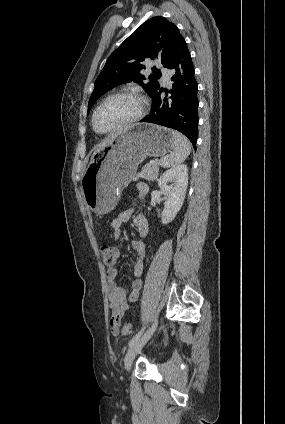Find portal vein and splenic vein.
Returning <instances> with one entry per match:
<instances>
[{"mask_svg": "<svg viewBox=\"0 0 285 424\" xmlns=\"http://www.w3.org/2000/svg\"><path fill=\"white\" fill-rule=\"evenodd\" d=\"M150 163H151V164H154V163H155V161H150Z\"/></svg>", "mask_w": 285, "mask_h": 424, "instance_id": "18ae733b", "label": "portal vein and splenic vein"}]
</instances>
